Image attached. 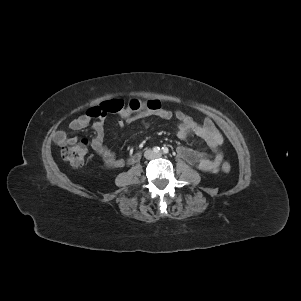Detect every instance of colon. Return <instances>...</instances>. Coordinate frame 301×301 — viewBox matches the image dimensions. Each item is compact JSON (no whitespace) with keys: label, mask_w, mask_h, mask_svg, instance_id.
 I'll list each match as a JSON object with an SVG mask.
<instances>
[{"label":"colon","mask_w":301,"mask_h":301,"mask_svg":"<svg viewBox=\"0 0 301 301\" xmlns=\"http://www.w3.org/2000/svg\"><path fill=\"white\" fill-rule=\"evenodd\" d=\"M161 107L158 101H141L138 99H112L103 102L99 106L90 108L87 113L92 117L97 118L106 115V113H120L124 109L132 111L151 110L155 111ZM88 151V141L86 139L75 140L66 143L61 150L62 156L65 160L69 161L72 165L80 166L83 164L85 156ZM221 170L224 173L231 171V165L227 162L223 163Z\"/></svg>","instance_id":"1"}]
</instances>
